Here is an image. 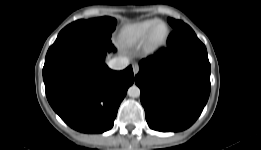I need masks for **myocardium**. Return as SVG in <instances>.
<instances>
[{
    "label": "myocardium",
    "instance_id": "f54148a6",
    "mask_svg": "<svg viewBox=\"0 0 261 150\" xmlns=\"http://www.w3.org/2000/svg\"><path fill=\"white\" fill-rule=\"evenodd\" d=\"M160 25L165 26L166 33L162 38L157 39L155 37V31H156L157 27L160 26ZM169 34H170V29H169V26L165 22H163V21L156 22L153 25V27L150 29V31H149L146 39H145L146 46L148 48H157V47L162 46L167 41Z\"/></svg>",
    "mask_w": 261,
    "mask_h": 150
}]
</instances>
